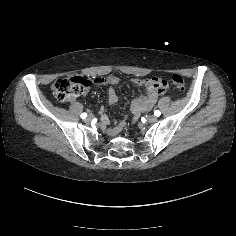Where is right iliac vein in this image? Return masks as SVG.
<instances>
[{
	"label": "right iliac vein",
	"mask_w": 236,
	"mask_h": 236,
	"mask_svg": "<svg viewBox=\"0 0 236 236\" xmlns=\"http://www.w3.org/2000/svg\"><path fill=\"white\" fill-rule=\"evenodd\" d=\"M92 115L90 114L87 118H86V122H91V120H92Z\"/></svg>",
	"instance_id": "63e3f726"
}]
</instances>
